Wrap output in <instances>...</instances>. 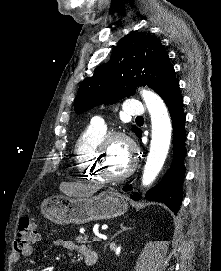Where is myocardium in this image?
<instances>
[{
	"mask_svg": "<svg viewBox=\"0 0 221 271\" xmlns=\"http://www.w3.org/2000/svg\"><path fill=\"white\" fill-rule=\"evenodd\" d=\"M119 142H124L123 147L126 150H130V155H137V145L135 140L132 138L131 133H108V137H103L101 141L102 145H98V153L94 157V163L98 166L95 167V172H99L102 178H128L132 174V170H139V165H137V158L131 157L129 159L130 168L124 173H106L105 170H108V165H105L103 157L109 151V145H117ZM115 168V167H114Z\"/></svg>",
	"mask_w": 221,
	"mask_h": 271,
	"instance_id": "1",
	"label": "myocardium"
}]
</instances>
